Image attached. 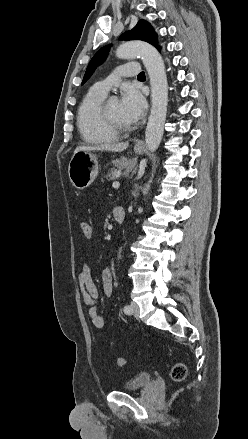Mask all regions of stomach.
Segmentation results:
<instances>
[{"instance_id": "stomach-1", "label": "stomach", "mask_w": 248, "mask_h": 439, "mask_svg": "<svg viewBox=\"0 0 248 439\" xmlns=\"http://www.w3.org/2000/svg\"><path fill=\"white\" fill-rule=\"evenodd\" d=\"M136 154L143 152L142 148H135ZM98 174L97 157L91 151H78L72 156L69 166L68 175L72 185L83 190L87 188Z\"/></svg>"}]
</instances>
